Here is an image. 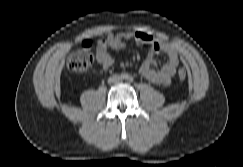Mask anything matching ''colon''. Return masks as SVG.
<instances>
[{
    "mask_svg": "<svg viewBox=\"0 0 243 167\" xmlns=\"http://www.w3.org/2000/svg\"><path fill=\"white\" fill-rule=\"evenodd\" d=\"M94 42L92 40H85L81 46L73 51L67 59V69L73 74L85 72L93 63L94 55L92 48ZM187 77L185 70H179L178 78L183 81Z\"/></svg>",
    "mask_w": 243,
    "mask_h": 167,
    "instance_id": "5ec220e1",
    "label": "colon"
}]
</instances>
